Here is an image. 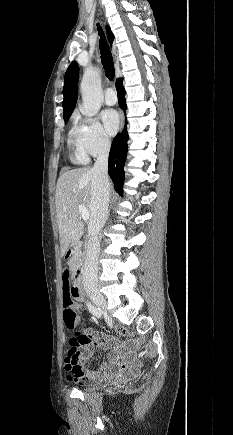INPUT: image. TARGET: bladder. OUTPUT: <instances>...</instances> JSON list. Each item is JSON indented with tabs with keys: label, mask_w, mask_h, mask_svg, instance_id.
Wrapping results in <instances>:
<instances>
[{
	"label": "bladder",
	"mask_w": 233,
	"mask_h": 435,
	"mask_svg": "<svg viewBox=\"0 0 233 435\" xmlns=\"http://www.w3.org/2000/svg\"><path fill=\"white\" fill-rule=\"evenodd\" d=\"M101 386H91L89 384H85L83 385V387L81 388L83 391H95V390H99Z\"/></svg>",
	"instance_id": "bladder-1"
}]
</instances>
